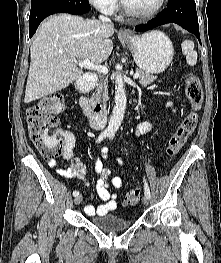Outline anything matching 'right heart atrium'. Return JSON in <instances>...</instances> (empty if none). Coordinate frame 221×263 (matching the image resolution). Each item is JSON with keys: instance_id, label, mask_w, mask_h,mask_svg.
<instances>
[{"instance_id": "obj_1", "label": "right heart atrium", "mask_w": 221, "mask_h": 263, "mask_svg": "<svg viewBox=\"0 0 221 263\" xmlns=\"http://www.w3.org/2000/svg\"><path fill=\"white\" fill-rule=\"evenodd\" d=\"M89 2L99 11L105 14H112L118 7V0H89Z\"/></svg>"}]
</instances>
